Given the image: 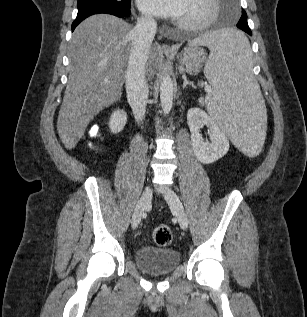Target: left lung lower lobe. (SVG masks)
Segmentation results:
<instances>
[{"label": "left lung lower lobe", "instance_id": "0a47b994", "mask_svg": "<svg viewBox=\"0 0 307 317\" xmlns=\"http://www.w3.org/2000/svg\"><path fill=\"white\" fill-rule=\"evenodd\" d=\"M243 24H240V27H238L239 29L245 31L246 33H248L250 36L252 35V32L248 26V23L245 21V22H241ZM232 44H234V46L238 47V48H242V41L240 40H235L232 42Z\"/></svg>", "mask_w": 307, "mask_h": 317}]
</instances>
